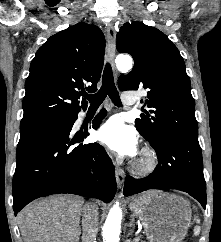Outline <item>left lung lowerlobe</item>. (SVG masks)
<instances>
[{"label":"left lung lower lobe","mask_w":221,"mask_h":242,"mask_svg":"<svg viewBox=\"0 0 221 242\" xmlns=\"http://www.w3.org/2000/svg\"><path fill=\"white\" fill-rule=\"evenodd\" d=\"M150 144L157 153V167L147 178L126 177L124 194L133 195L149 189H174L190 194L205 208L206 183L198 136L167 132Z\"/></svg>","instance_id":"1"}]
</instances>
